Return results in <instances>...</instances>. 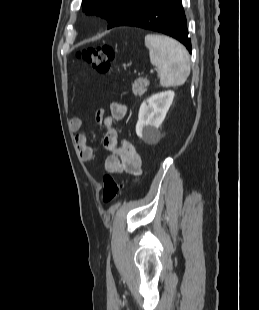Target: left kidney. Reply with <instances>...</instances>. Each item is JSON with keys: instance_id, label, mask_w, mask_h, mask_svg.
Wrapping results in <instances>:
<instances>
[{"instance_id": "obj_1", "label": "left kidney", "mask_w": 259, "mask_h": 310, "mask_svg": "<svg viewBox=\"0 0 259 310\" xmlns=\"http://www.w3.org/2000/svg\"><path fill=\"white\" fill-rule=\"evenodd\" d=\"M174 95V91L171 90L160 92L152 95L141 104L136 124L138 137L149 141L151 137L158 136L157 130L166 117Z\"/></svg>"}]
</instances>
